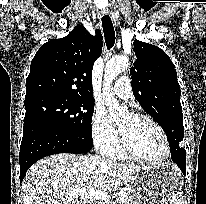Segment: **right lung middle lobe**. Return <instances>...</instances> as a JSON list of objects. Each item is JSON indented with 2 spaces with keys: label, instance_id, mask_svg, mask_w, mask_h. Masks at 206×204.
Listing matches in <instances>:
<instances>
[{
  "label": "right lung middle lobe",
  "instance_id": "1",
  "mask_svg": "<svg viewBox=\"0 0 206 204\" xmlns=\"http://www.w3.org/2000/svg\"><path fill=\"white\" fill-rule=\"evenodd\" d=\"M24 105L23 129L33 123H41L92 142L94 99L45 94L25 99Z\"/></svg>",
  "mask_w": 206,
  "mask_h": 204
}]
</instances>
